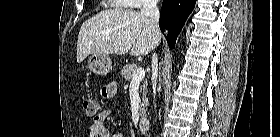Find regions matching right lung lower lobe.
<instances>
[{
    "label": "right lung lower lobe",
    "mask_w": 280,
    "mask_h": 137,
    "mask_svg": "<svg viewBox=\"0 0 280 137\" xmlns=\"http://www.w3.org/2000/svg\"><path fill=\"white\" fill-rule=\"evenodd\" d=\"M196 0H163L159 25L162 32L168 29L166 37L169 47L175 45V38L181 31L187 17L192 12Z\"/></svg>",
    "instance_id": "1"
}]
</instances>
